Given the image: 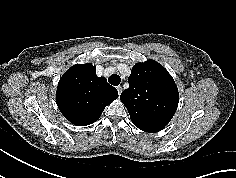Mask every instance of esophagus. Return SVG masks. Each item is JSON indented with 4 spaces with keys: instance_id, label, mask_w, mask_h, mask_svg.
<instances>
[{
    "instance_id": "obj_1",
    "label": "esophagus",
    "mask_w": 236,
    "mask_h": 178,
    "mask_svg": "<svg viewBox=\"0 0 236 178\" xmlns=\"http://www.w3.org/2000/svg\"><path fill=\"white\" fill-rule=\"evenodd\" d=\"M117 91H118V94H119V96H120L121 93H122V87H121V86H118V87H117Z\"/></svg>"
}]
</instances>
